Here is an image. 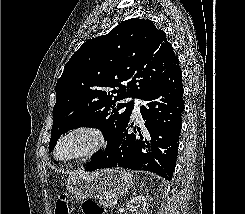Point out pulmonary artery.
Here are the masks:
<instances>
[{"mask_svg":"<svg viewBox=\"0 0 245 214\" xmlns=\"http://www.w3.org/2000/svg\"><path fill=\"white\" fill-rule=\"evenodd\" d=\"M129 100H131V99H128L127 101H129ZM139 106H140V101L135 99V106H134V110H133L134 116H139V113H140Z\"/></svg>","mask_w":245,"mask_h":214,"instance_id":"pulmonary-artery-1","label":"pulmonary artery"}]
</instances>
